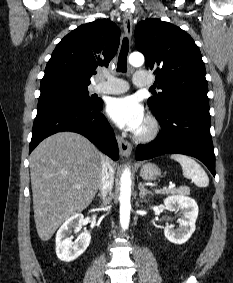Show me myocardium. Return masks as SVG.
Returning <instances> with one entry per match:
<instances>
[{
  "label": "myocardium",
  "mask_w": 233,
  "mask_h": 283,
  "mask_svg": "<svg viewBox=\"0 0 233 283\" xmlns=\"http://www.w3.org/2000/svg\"><path fill=\"white\" fill-rule=\"evenodd\" d=\"M161 130L159 121L152 115H148L144 121V127L135 134V139L139 142H151L157 138Z\"/></svg>",
  "instance_id": "1"
}]
</instances>
